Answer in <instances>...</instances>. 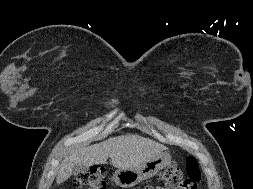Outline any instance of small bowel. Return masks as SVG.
<instances>
[{"instance_id": "obj_1", "label": "small bowel", "mask_w": 253, "mask_h": 189, "mask_svg": "<svg viewBox=\"0 0 253 189\" xmlns=\"http://www.w3.org/2000/svg\"><path fill=\"white\" fill-rule=\"evenodd\" d=\"M150 189H165L163 187H156V188H150Z\"/></svg>"}]
</instances>
